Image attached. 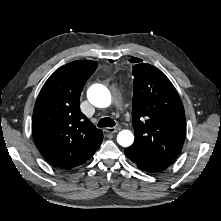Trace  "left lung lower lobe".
I'll use <instances>...</instances> for the list:
<instances>
[{
    "label": "left lung lower lobe",
    "mask_w": 221,
    "mask_h": 221,
    "mask_svg": "<svg viewBox=\"0 0 221 221\" xmlns=\"http://www.w3.org/2000/svg\"><path fill=\"white\" fill-rule=\"evenodd\" d=\"M124 153L126 157L135 163L138 169L142 171L157 173L165 170L169 166V164H166L145 152L132 149L131 147L126 148Z\"/></svg>",
    "instance_id": "left-lung-lower-lobe-1"
}]
</instances>
